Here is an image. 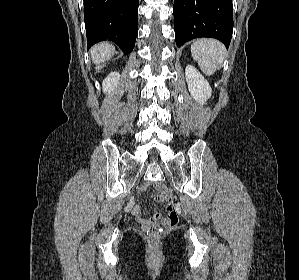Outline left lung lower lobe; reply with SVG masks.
I'll list each match as a JSON object with an SVG mask.
<instances>
[{
	"mask_svg": "<svg viewBox=\"0 0 299 280\" xmlns=\"http://www.w3.org/2000/svg\"><path fill=\"white\" fill-rule=\"evenodd\" d=\"M176 45L212 37L229 46L233 31L232 0H174Z\"/></svg>",
	"mask_w": 299,
	"mask_h": 280,
	"instance_id": "obj_1",
	"label": "left lung lower lobe"
}]
</instances>
